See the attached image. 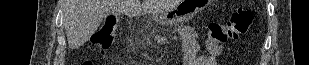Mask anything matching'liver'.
<instances>
[{"instance_id": "1", "label": "liver", "mask_w": 309, "mask_h": 65, "mask_svg": "<svg viewBox=\"0 0 309 65\" xmlns=\"http://www.w3.org/2000/svg\"><path fill=\"white\" fill-rule=\"evenodd\" d=\"M179 0H63L64 25L68 46H82L111 11L127 16L156 15L174 8Z\"/></svg>"}]
</instances>
